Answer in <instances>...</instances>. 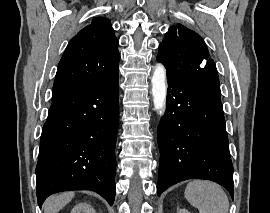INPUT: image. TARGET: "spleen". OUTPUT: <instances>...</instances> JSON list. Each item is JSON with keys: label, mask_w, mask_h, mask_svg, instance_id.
<instances>
[{"label": "spleen", "mask_w": 270, "mask_h": 213, "mask_svg": "<svg viewBox=\"0 0 270 213\" xmlns=\"http://www.w3.org/2000/svg\"><path fill=\"white\" fill-rule=\"evenodd\" d=\"M185 198L199 213H228L229 200L224 190L216 183L193 180L185 189Z\"/></svg>", "instance_id": "1"}]
</instances>
